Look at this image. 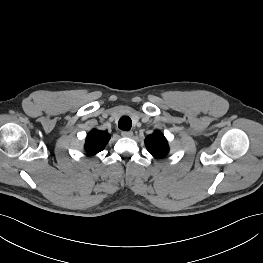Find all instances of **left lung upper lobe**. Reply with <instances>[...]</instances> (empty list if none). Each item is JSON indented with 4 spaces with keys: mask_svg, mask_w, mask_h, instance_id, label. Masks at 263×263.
I'll use <instances>...</instances> for the list:
<instances>
[{
    "mask_svg": "<svg viewBox=\"0 0 263 263\" xmlns=\"http://www.w3.org/2000/svg\"><path fill=\"white\" fill-rule=\"evenodd\" d=\"M145 145L150 154L155 158H162L169 152L167 140L158 130L146 137Z\"/></svg>",
    "mask_w": 263,
    "mask_h": 263,
    "instance_id": "1",
    "label": "left lung upper lobe"
}]
</instances>
